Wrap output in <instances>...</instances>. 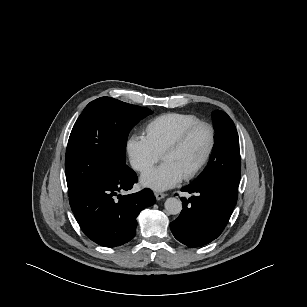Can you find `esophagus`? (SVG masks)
I'll list each match as a JSON object with an SVG mask.
<instances>
[{
	"label": "esophagus",
	"mask_w": 307,
	"mask_h": 307,
	"mask_svg": "<svg viewBox=\"0 0 307 307\" xmlns=\"http://www.w3.org/2000/svg\"><path fill=\"white\" fill-rule=\"evenodd\" d=\"M154 195L157 200H161L166 196L164 193L161 192H154Z\"/></svg>",
	"instance_id": "obj_1"
}]
</instances>
